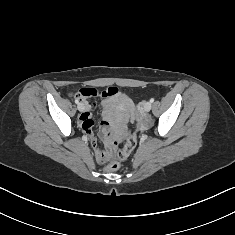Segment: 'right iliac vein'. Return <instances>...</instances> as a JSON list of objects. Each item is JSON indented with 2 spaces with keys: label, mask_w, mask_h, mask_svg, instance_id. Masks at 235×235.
Listing matches in <instances>:
<instances>
[{
  "label": "right iliac vein",
  "mask_w": 235,
  "mask_h": 235,
  "mask_svg": "<svg viewBox=\"0 0 235 235\" xmlns=\"http://www.w3.org/2000/svg\"><path fill=\"white\" fill-rule=\"evenodd\" d=\"M78 110H79L80 112H82V111L84 110V105H83V103H79V104H78Z\"/></svg>",
  "instance_id": "1"
}]
</instances>
